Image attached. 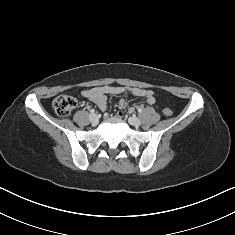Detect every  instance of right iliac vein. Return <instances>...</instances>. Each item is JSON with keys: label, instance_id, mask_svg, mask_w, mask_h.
<instances>
[{"label": "right iliac vein", "instance_id": "63e3f726", "mask_svg": "<svg viewBox=\"0 0 235 235\" xmlns=\"http://www.w3.org/2000/svg\"><path fill=\"white\" fill-rule=\"evenodd\" d=\"M98 116L97 114L93 113L90 115V121L93 123V124H96L98 122Z\"/></svg>", "mask_w": 235, "mask_h": 235}]
</instances>
